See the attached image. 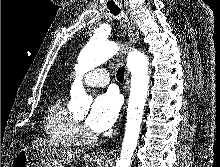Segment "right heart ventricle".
<instances>
[{
    "instance_id": "obj_1",
    "label": "right heart ventricle",
    "mask_w": 220,
    "mask_h": 167,
    "mask_svg": "<svg viewBox=\"0 0 220 167\" xmlns=\"http://www.w3.org/2000/svg\"><path fill=\"white\" fill-rule=\"evenodd\" d=\"M44 131L52 141L61 146H74L78 142L76 118L64 105L61 95L55 96L49 105Z\"/></svg>"
}]
</instances>
